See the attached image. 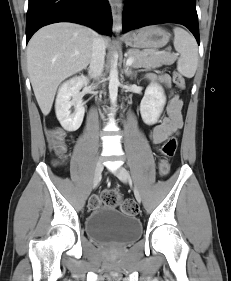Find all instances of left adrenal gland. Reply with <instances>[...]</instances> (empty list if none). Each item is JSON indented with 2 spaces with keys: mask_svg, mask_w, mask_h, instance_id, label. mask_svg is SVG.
I'll return each mask as SVG.
<instances>
[{
  "mask_svg": "<svg viewBox=\"0 0 231 281\" xmlns=\"http://www.w3.org/2000/svg\"><path fill=\"white\" fill-rule=\"evenodd\" d=\"M124 72H125L126 76L131 77V79L136 76L134 71H132V69L129 68L127 65H125V67H124Z\"/></svg>",
  "mask_w": 231,
  "mask_h": 281,
  "instance_id": "a2214340",
  "label": "left adrenal gland"
}]
</instances>
